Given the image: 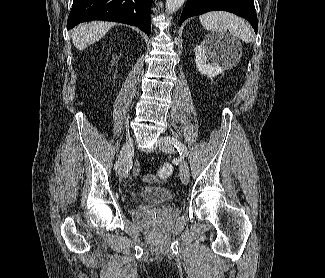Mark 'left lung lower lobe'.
<instances>
[{
	"instance_id": "left-lung-lower-lobe-1",
	"label": "left lung lower lobe",
	"mask_w": 325,
	"mask_h": 278,
	"mask_svg": "<svg viewBox=\"0 0 325 278\" xmlns=\"http://www.w3.org/2000/svg\"><path fill=\"white\" fill-rule=\"evenodd\" d=\"M214 10H224L244 17L257 32L258 22L253 0H187L180 25L189 17Z\"/></svg>"
}]
</instances>
